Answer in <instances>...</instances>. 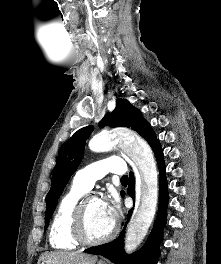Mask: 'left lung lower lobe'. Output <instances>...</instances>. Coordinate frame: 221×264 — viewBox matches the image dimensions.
<instances>
[{
    "label": "left lung lower lobe",
    "mask_w": 221,
    "mask_h": 264,
    "mask_svg": "<svg viewBox=\"0 0 221 264\" xmlns=\"http://www.w3.org/2000/svg\"><path fill=\"white\" fill-rule=\"evenodd\" d=\"M153 152L156 155L158 162L159 172H160V200L158 215L155 222V225L152 228V231L148 237V240L144 246L137 252L132 255H127L124 251V231L126 225L119 237L114 241L96 246L93 248L86 249L87 253L103 255L108 258L115 264H156L157 258L160 254L159 244L162 241V230L163 226L166 223V211L168 206V190H167V181L165 176V164L163 151L161 149L160 143H158ZM134 176L130 173V180L128 185V194L134 199ZM124 196V193H122ZM132 214V210L128 213L129 221Z\"/></svg>",
    "instance_id": "left-lung-lower-lobe-1"
}]
</instances>
